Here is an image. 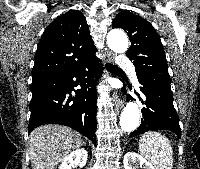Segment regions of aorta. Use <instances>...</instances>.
<instances>
[{
  "label": "aorta",
  "instance_id": "1",
  "mask_svg": "<svg viewBox=\"0 0 200 169\" xmlns=\"http://www.w3.org/2000/svg\"><path fill=\"white\" fill-rule=\"evenodd\" d=\"M109 48L116 53H123L128 49V38L121 31H112L107 36ZM120 127L124 132H132L140 124L139 106L134 102H129L124 107L120 116Z\"/></svg>",
  "mask_w": 200,
  "mask_h": 169
}]
</instances>
